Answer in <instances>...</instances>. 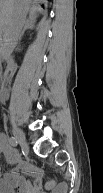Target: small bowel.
Returning a JSON list of instances; mask_svg holds the SVG:
<instances>
[{
	"label": "small bowel",
	"mask_w": 103,
	"mask_h": 193,
	"mask_svg": "<svg viewBox=\"0 0 103 193\" xmlns=\"http://www.w3.org/2000/svg\"><path fill=\"white\" fill-rule=\"evenodd\" d=\"M0 152L11 169L3 174L0 193H66L67 185L51 179L43 182V171L37 165L19 158L18 153L10 148L7 138L0 136ZM27 176H30L33 183Z\"/></svg>",
	"instance_id": "c3829d8e"
}]
</instances>
